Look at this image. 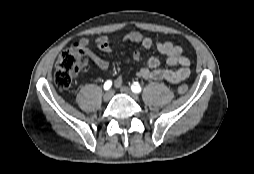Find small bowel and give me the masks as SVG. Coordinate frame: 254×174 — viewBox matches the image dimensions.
<instances>
[{
    "label": "small bowel",
    "instance_id": "c3829d8e",
    "mask_svg": "<svg viewBox=\"0 0 254 174\" xmlns=\"http://www.w3.org/2000/svg\"><path fill=\"white\" fill-rule=\"evenodd\" d=\"M123 41H129L138 43L146 49L155 47L162 55L166 57L167 64L175 67L174 69H162L160 68V60L156 57H150L146 63L137 72L138 77L144 80L159 81L165 80L171 84H177L190 75V60L182 54V48L170 41L166 42H154L150 37L133 31L125 34L122 38ZM94 45L101 51L109 53L112 51V43L109 38L105 36L97 37L93 41ZM90 44L87 38H82L79 41V45L86 49ZM92 62L98 66L101 70L106 71L109 68V63L96 55L91 51H87ZM133 58L136 61L141 59V53L135 51ZM122 84V80L118 79L115 85L119 87Z\"/></svg>",
    "mask_w": 254,
    "mask_h": 174
}]
</instances>
